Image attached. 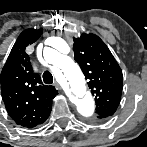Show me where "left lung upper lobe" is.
Returning <instances> with one entry per match:
<instances>
[{
  "label": "left lung upper lobe",
  "mask_w": 147,
  "mask_h": 147,
  "mask_svg": "<svg viewBox=\"0 0 147 147\" xmlns=\"http://www.w3.org/2000/svg\"><path fill=\"white\" fill-rule=\"evenodd\" d=\"M74 58L80 65L96 101L99 119L113 115L123 89L122 70L106 44L95 34L73 38Z\"/></svg>",
  "instance_id": "obj_1"
}]
</instances>
